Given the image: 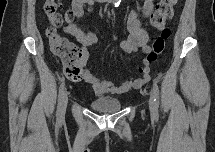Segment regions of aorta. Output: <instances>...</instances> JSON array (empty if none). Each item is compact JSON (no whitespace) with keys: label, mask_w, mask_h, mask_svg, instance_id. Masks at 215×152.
Segmentation results:
<instances>
[{"label":"aorta","mask_w":215,"mask_h":152,"mask_svg":"<svg viewBox=\"0 0 215 152\" xmlns=\"http://www.w3.org/2000/svg\"><path fill=\"white\" fill-rule=\"evenodd\" d=\"M114 4L117 5L119 0H113Z\"/></svg>","instance_id":"762f6f07"}]
</instances>
